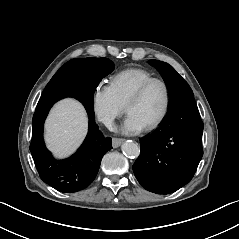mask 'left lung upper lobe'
I'll use <instances>...</instances> for the list:
<instances>
[{"instance_id":"obj_1","label":"left lung upper lobe","mask_w":239,"mask_h":239,"mask_svg":"<svg viewBox=\"0 0 239 239\" xmlns=\"http://www.w3.org/2000/svg\"><path fill=\"white\" fill-rule=\"evenodd\" d=\"M149 63L160 72L168 87L170 94L169 107L181 99L193 97V92L188 83L171 65L158 60H150Z\"/></svg>"}]
</instances>
